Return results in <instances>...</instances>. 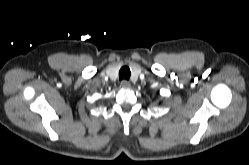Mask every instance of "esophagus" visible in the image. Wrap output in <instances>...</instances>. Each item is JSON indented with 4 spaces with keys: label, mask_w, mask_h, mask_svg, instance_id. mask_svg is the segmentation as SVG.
Returning a JSON list of instances; mask_svg holds the SVG:
<instances>
[{
    "label": "esophagus",
    "mask_w": 249,
    "mask_h": 165,
    "mask_svg": "<svg viewBox=\"0 0 249 165\" xmlns=\"http://www.w3.org/2000/svg\"><path fill=\"white\" fill-rule=\"evenodd\" d=\"M121 86L123 88H130L131 87V84L127 81V80H122L121 81Z\"/></svg>",
    "instance_id": "1"
}]
</instances>
